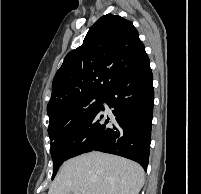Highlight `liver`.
<instances>
[{
	"mask_svg": "<svg viewBox=\"0 0 201 194\" xmlns=\"http://www.w3.org/2000/svg\"><path fill=\"white\" fill-rule=\"evenodd\" d=\"M144 170L136 162L101 152H90L66 161L48 194H138Z\"/></svg>",
	"mask_w": 201,
	"mask_h": 194,
	"instance_id": "6515ba94",
	"label": "liver"
}]
</instances>
